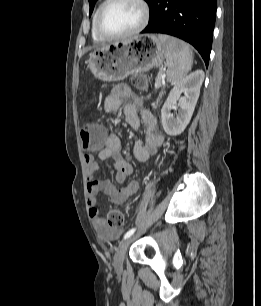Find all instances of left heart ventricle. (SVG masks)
Listing matches in <instances>:
<instances>
[{"mask_svg": "<svg viewBox=\"0 0 261 306\" xmlns=\"http://www.w3.org/2000/svg\"><path fill=\"white\" fill-rule=\"evenodd\" d=\"M142 19V10L132 0H119L105 11L103 28L111 34H124L135 29Z\"/></svg>", "mask_w": 261, "mask_h": 306, "instance_id": "1", "label": "left heart ventricle"}]
</instances>
